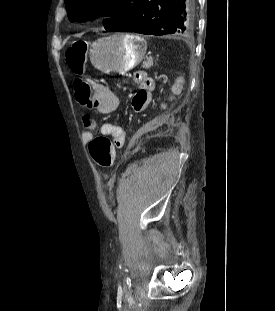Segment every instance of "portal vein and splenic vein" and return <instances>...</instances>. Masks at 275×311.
Here are the masks:
<instances>
[{
  "label": "portal vein and splenic vein",
  "mask_w": 275,
  "mask_h": 311,
  "mask_svg": "<svg viewBox=\"0 0 275 311\" xmlns=\"http://www.w3.org/2000/svg\"><path fill=\"white\" fill-rule=\"evenodd\" d=\"M147 61H148V63H147V65H146V67H150L151 65H153V60H152V58L148 59Z\"/></svg>",
  "instance_id": "1"
}]
</instances>
